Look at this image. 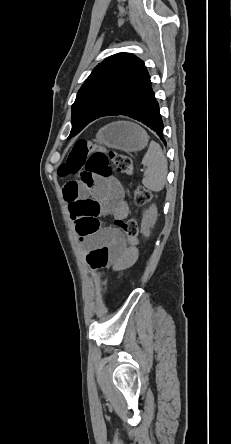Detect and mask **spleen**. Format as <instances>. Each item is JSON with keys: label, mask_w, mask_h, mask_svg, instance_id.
<instances>
[{"label": "spleen", "mask_w": 231, "mask_h": 444, "mask_svg": "<svg viewBox=\"0 0 231 444\" xmlns=\"http://www.w3.org/2000/svg\"><path fill=\"white\" fill-rule=\"evenodd\" d=\"M142 164L146 167L142 184L151 191H161L166 184L168 164L162 148L157 142L150 143L142 159Z\"/></svg>", "instance_id": "3e777b00"}]
</instances>
